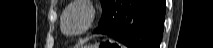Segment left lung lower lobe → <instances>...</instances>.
Returning a JSON list of instances; mask_svg holds the SVG:
<instances>
[{
  "instance_id": "left-lung-lower-lobe-1",
  "label": "left lung lower lobe",
  "mask_w": 213,
  "mask_h": 48,
  "mask_svg": "<svg viewBox=\"0 0 213 48\" xmlns=\"http://www.w3.org/2000/svg\"><path fill=\"white\" fill-rule=\"evenodd\" d=\"M164 16L165 0H110L93 33L129 48H159Z\"/></svg>"
}]
</instances>
